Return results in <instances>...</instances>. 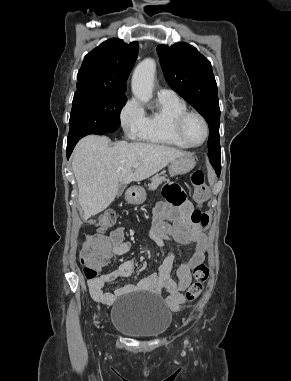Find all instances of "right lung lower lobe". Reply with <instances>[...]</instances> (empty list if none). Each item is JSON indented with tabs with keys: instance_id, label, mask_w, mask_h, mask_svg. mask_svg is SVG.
<instances>
[{
	"instance_id": "obj_1",
	"label": "right lung lower lobe",
	"mask_w": 291,
	"mask_h": 381,
	"mask_svg": "<svg viewBox=\"0 0 291 381\" xmlns=\"http://www.w3.org/2000/svg\"><path fill=\"white\" fill-rule=\"evenodd\" d=\"M112 133V132H111ZM78 141H75V142H67V158L69 159L73 149H74V146L76 145Z\"/></svg>"
}]
</instances>
